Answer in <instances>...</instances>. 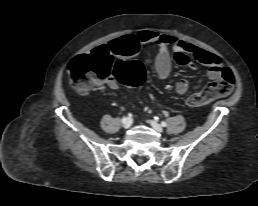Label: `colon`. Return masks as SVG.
<instances>
[{
	"mask_svg": "<svg viewBox=\"0 0 258 206\" xmlns=\"http://www.w3.org/2000/svg\"><path fill=\"white\" fill-rule=\"evenodd\" d=\"M68 72L73 88L81 93L111 76L128 86L138 85L144 77V69L140 62L119 61L114 64L112 57L103 50H93L75 57L69 64ZM234 83L232 71L224 68L217 81L190 95L186 103L191 107H198L216 98L227 96L233 91Z\"/></svg>",
	"mask_w": 258,
	"mask_h": 206,
	"instance_id": "colon-1",
	"label": "colon"
}]
</instances>
